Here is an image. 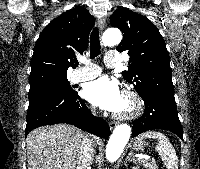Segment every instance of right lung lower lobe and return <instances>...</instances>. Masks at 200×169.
Segmentation results:
<instances>
[{
    "label": "right lung lower lobe",
    "instance_id": "98d812e1",
    "mask_svg": "<svg viewBox=\"0 0 200 169\" xmlns=\"http://www.w3.org/2000/svg\"><path fill=\"white\" fill-rule=\"evenodd\" d=\"M56 123L72 124L99 137H107L110 133L106 121L93 116L76 91L70 94L58 92L29 100L26 135L39 126Z\"/></svg>",
    "mask_w": 200,
    "mask_h": 169
}]
</instances>
